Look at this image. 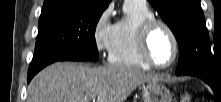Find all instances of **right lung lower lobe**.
<instances>
[{
    "mask_svg": "<svg viewBox=\"0 0 221 102\" xmlns=\"http://www.w3.org/2000/svg\"><path fill=\"white\" fill-rule=\"evenodd\" d=\"M72 61H84L83 59H73ZM36 73H28L27 82L29 83Z\"/></svg>",
    "mask_w": 221,
    "mask_h": 102,
    "instance_id": "1",
    "label": "right lung lower lobe"
}]
</instances>
